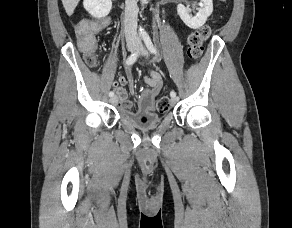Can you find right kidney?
Wrapping results in <instances>:
<instances>
[{
  "mask_svg": "<svg viewBox=\"0 0 292 228\" xmlns=\"http://www.w3.org/2000/svg\"><path fill=\"white\" fill-rule=\"evenodd\" d=\"M83 6L90 15L95 18H103L110 13L111 0H84Z\"/></svg>",
  "mask_w": 292,
  "mask_h": 228,
  "instance_id": "ca27d5eb",
  "label": "right kidney"
}]
</instances>
